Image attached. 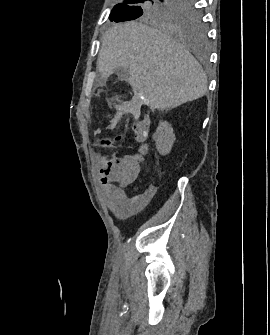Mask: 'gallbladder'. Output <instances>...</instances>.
Here are the masks:
<instances>
[{
  "instance_id": "gallbladder-1",
  "label": "gallbladder",
  "mask_w": 270,
  "mask_h": 335,
  "mask_svg": "<svg viewBox=\"0 0 270 335\" xmlns=\"http://www.w3.org/2000/svg\"><path fill=\"white\" fill-rule=\"evenodd\" d=\"M117 76L119 80H124V82H128V78H129L128 68H118Z\"/></svg>"
}]
</instances>
